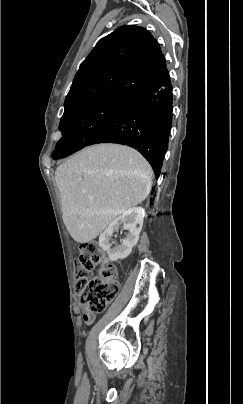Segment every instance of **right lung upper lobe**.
I'll list each match as a JSON object with an SVG mask.
<instances>
[{
	"instance_id": "right-lung-upper-lobe-1",
	"label": "right lung upper lobe",
	"mask_w": 243,
	"mask_h": 404,
	"mask_svg": "<svg viewBox=\"0 0 243 404\" xmlns=\"http://www.w3.org/2000/svg\"><path fill=\"white\" fill-rule=\"evenodd\" d=\"M168 78L165 58L149 31L121 26L102 38L80 65L64 113L96 100H128L160 88Z\"/></svg>"
}]
</instances>
